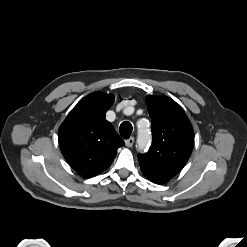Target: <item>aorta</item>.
<instances>
[{"instance_id":"762f6f07","label":"aorta","mask_w":247,"mask_h":247,"mask_svg":"<svg viewBox=\"0 0 247 247\" xmlns=\"http://www.w3.org/2000/svg\"><path fill=\"white\" fill-rule=\"evenodd\" d=\"M138 132H139L138 143L139 146L142 148L145 145V142L150 140L151 136L149 129L142 127L140 122L138 123Z\"/></svg>"}]
</instances>
